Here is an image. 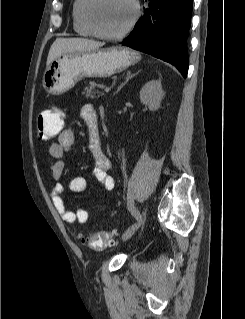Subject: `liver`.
I'll return each instance as SVG.
<instances>
[{"instance_id": "6515ba94", "label": "liver", "mask_w": 245, "mask_h": 319, "mask_svg": "<svg viewBox=\"0 0 245 319\" xmlns=\"http://www.w3.org/2000/svg\"><path fill=\"white\" fill-rule=\"evenodd\" d=\"M103 45L104 43L86 38H57L49 50L46 65L48 67L53 60L65 53L97 50Z\"/></svg>"}]
</instances>
